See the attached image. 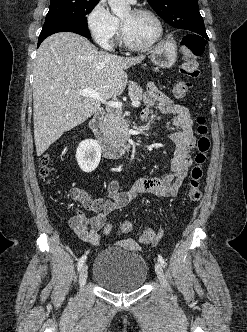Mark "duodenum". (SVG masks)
<instances>
[{
  "label": "duodenum",
  "instance_id": "duodenum-1",
  "mask_svg": "<svg viewBox=\"0 0 247 332\" xmlns=\"http://www.w3.org/2000/svg\"><path fill=\"white\" fill-rule=\"evenodd\" d=\"M103 117V111H97L90 121V128L99 141L104 156L109 159H118L128 155L130 152V146L120 147L110 140L104 127Z\"/></svg>",
  "mask_w": 247,
  "mask_h": 332
}]
</instances>
